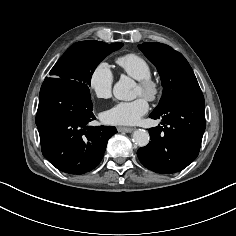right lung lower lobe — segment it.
<instances>
[{"mask_svg":"<svg viewBox=\"0 0 236 236\" xmlns=\"http://www.w3.org/2000/svg\"><path fill=\"white\" fill-rule=\"evenodd\" d=\"M91 97L69 81L43 82L36 115L44 157L58 170L83 174L101 161L108 139L117 133L112 126H91L95 120Z\"/></svg>","mask_w":236,"mask_h":236,"instance_id":"1","label":"right lung lower lobe"}]
</instances>
